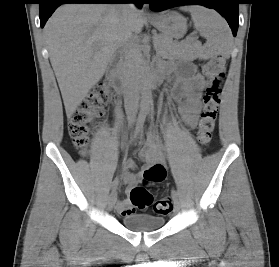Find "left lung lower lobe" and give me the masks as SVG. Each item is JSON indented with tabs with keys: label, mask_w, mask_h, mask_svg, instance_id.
Instances as JSON below:
<instances>
[{
	"label": "left lung lower lobe",
	"mask_w": 279,
	"mask_h": 267,
	"mask_svg": "<svg viewBox=\"0 0 279 267\" xmlns=\"http://www.w3.org/2000/svg\"><path fill=\"white\" fill-rule=\"evenodd\" d=\"M150 8L162 11L175 6L197 4L217 10L227 20L234 36L237 34L239 24V0H149Z\"/></svg>",
	"instance_id": "obj_1"
}]
</instances>
